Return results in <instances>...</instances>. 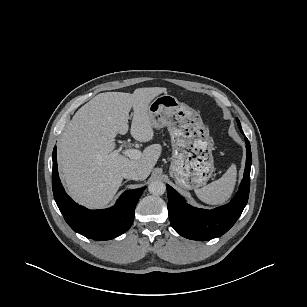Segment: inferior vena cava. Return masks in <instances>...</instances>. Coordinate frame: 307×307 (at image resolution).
<instances>
[{
  "label": "inferior vena cava",
  "mask_w": 307,
  "mask_h": 307,
  "mask_svg": "<svg viewBox=\"0 0 307 307\" xmlns=\"http://www.w3.org/2000/svg\"><path fill=\"white\" fill-rule=\"evenodd\" d=\"M122 176L127 179L140 180L141 173L133 168H126L122 171Z\"/></svg>",
  "instance_id": "obj_1"
}]
</instances>
